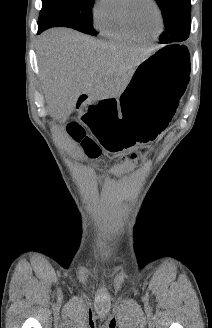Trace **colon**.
<instances>
[{
	"label": "colon",
	"instance_id": "1",
	"mask_svg": "<svg viewBox=\"0 0 212 328\" xmlns=\"http://www.w3.org/2000/svg\"><path fill=\"white\" fill-rule=\"evenodd\" d=\"M67 132L73 138V140L82 148L83 152L89 159L97 160L102 156L103 146H99L98 140H95L94 137L86 133V130L83 125L78 122H71L67 125ZM133 156H136V154H134ZM133 156L131 154H128L126 157L128 159H131ZM126 157H119L118 161L123 162L124 165H127L128 161Z\"/></svg>",
	"mask_w": 212,
	"mask_h": 328
}]
</instances>
